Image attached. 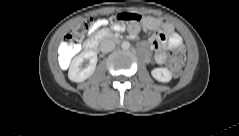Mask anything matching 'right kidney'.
<instances>
[{
  "label": "right kidney",
  "mask_w": 239,
  "mask_h": 136,
  "mask_svg": "<svg viewBox=\"0 0 239 136\" xmlns=\"http://www.w3.org/2000/svg\"><path fill=\"white\" fill-rule=\"evenodd\" d=\"M88 60V64L84 67L83 63ZM97 53L94 51H84L71 61L68 71V77L73 82H83L90 77L96 68Z\"/></svg>",
  "instance_id": "1"
}]
</instances>
